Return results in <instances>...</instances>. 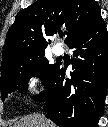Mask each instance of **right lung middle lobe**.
Instances as JSON below:
<instances>
[{
	"instance_id": "dd1d6c3e",
	"label": "right lung middle lobe",
	"mask_w": 108,
	"mask_h": 127,
	"mask_svg": "<svg viewBox=\"0 0 108 127\" xmlns=\"http://www.w3.org/2000/svg\"><path fill=\"white\" fill-rule=\"evenodd\" d=\"M57 65L48 64L44 53L31 57L17 59L1 65V98L4 100L8 93L18 90L27 91L28 80L32 76L41 78L46 84Z\"/></svg>"
}]
</instances>
